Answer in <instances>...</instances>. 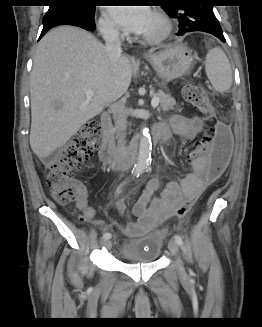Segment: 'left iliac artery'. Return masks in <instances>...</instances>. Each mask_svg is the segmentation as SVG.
<instances>
[{
  "label": "left iliac artery",
  "mask_w": 262,
  "mask_h": 327,
  "mask_svg": "<svg viewBox=\"0 0 262 327\" xmlns=\"http://www.w3.org/2000/svg\"><path fill=\"white\" fill-rule=\"evenodd\" d=\"M174 239H175L176 243H177L179 246H183V240H182V238H181L180 235L176 234V235L174 236Z\"/></svg>",
  "instance_id": "left-iliac-artery-1"
}]
</instances>
